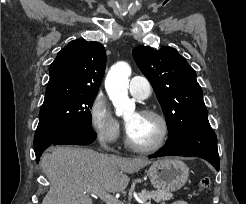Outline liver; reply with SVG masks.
<instances>
[{
	"label": "liver",
	"instance_id": "1",
	"mask_svg": "<svg viewBox=\"0 0 246 204\" xmlns=\"http://www.w3.org/2000/svg\"><path fill=\"white\" fill-rule=\"evenodd\" d=\"M150 161L124 157L111 158L88 148L55 147L41 159V167L50 182L42 204H93L91 187L122 192L132 174Z\"/></svg>",
	"mask_w": 246,
	"mask_h": 204
}]
</instances>
